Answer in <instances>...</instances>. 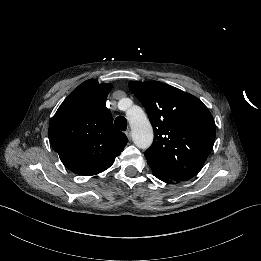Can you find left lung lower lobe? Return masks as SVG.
Returning a JSON list of instances; mask_svg holds the SVG:
<instances>
[{"instance_id": "0a47b994", "label": "left lung lower lobe", "mask_w": 261, "mask_h": 261, "mask_svg": "<svg viewBox=\"0 0 261 261\" xmlns=\"http://www.w3.org/2000/svg\"><path fill=\"white\" fill-rule=\"evenodd\" d=\"M153 175H154L155 177H157L158 179H160L161 181L166 182V183H169V184H173L174 182H181V181H178V180H174V179L167 178V177H165V176H163V175H160V174H158V173H155V172H153Z\"/></svg>"}]
</instances>
